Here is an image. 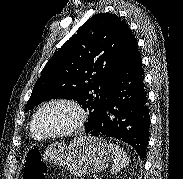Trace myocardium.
<instances>
[{
    "mask_svg": "<svg viewBox=\"0 0 183 179\" xmlns=\"http://www.w3.org/2000/svg\"><path fill=\"white\" fill-rule=\"evenodd\" d=\"M56 104L66 105V106H69L71 109H73V111L75 112V115H76V119H75L74 124L67 130L58 132V133L48 134V133L43 132V130L41 129V125H40L41 116L48 107H50L52 105H56ZM84 122H85V111L79 102H77L74 99H70V98H56V99H52V100L46 102L38 110L37 115H36L35 126H36V130H37L38 134L41 137L49 138V139H56V138H63V137L71 136V135L77 133L84 125Z\"/></svg>",
    "mask_w": 183,
    "mask_h": 179,
    "instance_id": "f54148a6",
    "label": "myocardium"
}]
</instances>
